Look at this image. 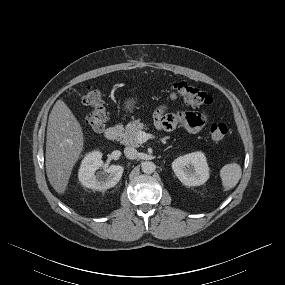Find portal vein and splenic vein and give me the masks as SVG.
Listing matches in <instances>:
<instances>
[{
	"label": "portal vein and splenic vein",
	"mask_w": 285,
	"mask_h": 285,
	"mask_svg": "<svg viewBox=\"0 0 285 285\" xmlns=\"http://www.w3.org/2000/svg\"><path fill=\"white\" fill-rule=\"evenodd\" d=\"M151 137V134L146 133L144 131H139L137 134V141L142 144L145 143L149 138Z\"/></svg>",
	"instance_id": "1"
}]
</instances>
